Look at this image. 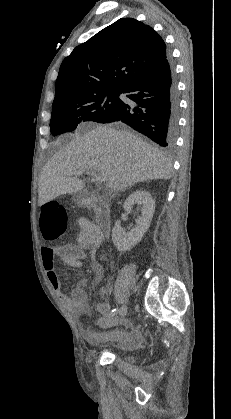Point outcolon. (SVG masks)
I'll use <instances>...</instances> for the list:
<instances>
[{"mask_svg": "<svg viewBox=\"0 0 231 419\" xmlns=\"http://www.w3.org/2000/svg\"><path fill=\"white\" fill-rule=\"evenodd\" d=\"M42 226L51 239L66 228V211L62 205L47 204L42 212Z\"/></svg>", "mask_w": 231, "mask_h": 419, "instance_id": "obj_1", "label": "colon"}]
</instances>
